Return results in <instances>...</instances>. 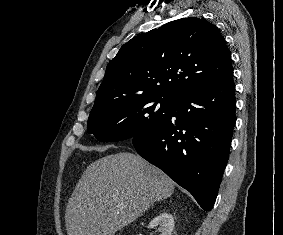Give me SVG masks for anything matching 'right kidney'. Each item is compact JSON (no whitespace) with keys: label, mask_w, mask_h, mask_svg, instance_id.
<instances>
[{"label":"right kidney","mask_w":283,"mask_h":235,"mask_svg":"<svg viewBox=\"0 0 283 235\" xmlns=\"http://www.w3.org/2000/svg\"><path fill=\"white\" fill-rule=\"evenodd\" d=\"M149 225L151 228L158 227L160 235H171L174 228V219L171 214L164 212L151 220Z\"/></svg>","instance_id":"obj_1"}]
</instances>
